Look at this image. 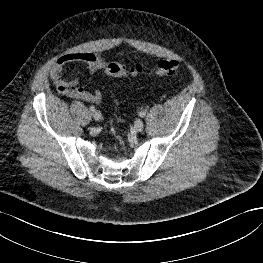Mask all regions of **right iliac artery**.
Here are the masks:
<instances>
[{
    "mask_svg": "<svg viewBox=\"0 0 263 263\" xmlns=\"http://www.w3.org/2000/svg\"><path fill=\"white\" fill-rule=\"evenodd\" d=\"M90 111L94 112L95 111V107L94 106H90Z\"/></svg>",
    "mask_w": 263,
    "mask_h": 263,
    "instance_id": "obj_1",
    "label": "right iliac artery"
}]
</instances>
